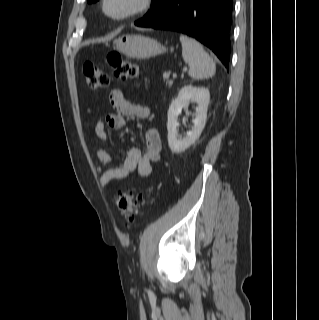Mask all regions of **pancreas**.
I'll return each mask as SVG.
<instances>
[{
	"instance_id": "1",
	"label": "pancreas",
	"mask_w": 319,
	"mask_h": 320,
	"mask_svg": "<svg viewBox=\"0 0 319 320\" xmlns=\"http://www.w3.org/2000/svg\"><path fill=\"white\" fill-rule=\"evenodd\" d=\"M164 80H165L166 84H169V80L168 79L164 78Z\"/></svg>"
}]
</instances>
